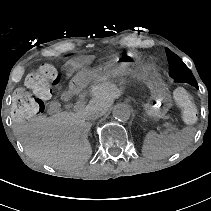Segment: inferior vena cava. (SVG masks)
Here are the masks:
<instances>
[{
    "mask_svg": "<svg viewBox=\"0 0 211 211\" xmlns=\"http://www.w3.org/2000/svg\"><path fill=\"white\" fill-rule=\"evenodd\" d=\"M83 113L86 117V120H94L103 115V110L102 109H97L92 105H87L83 109Z\"/></svg>",
    "mask_w": 211,
    "mask_h": 211,
    "instance_id": "obj_1",
    "label": "inferior vena cava"
}]
</instances>
